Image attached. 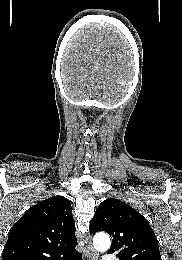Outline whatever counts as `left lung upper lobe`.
Instances as JSON below:
<instances>
[{"instance_id":"1","label":"left lung upper lobe","mask_w":182,"mask_h":260,"mask_svg":"<svg viewBox=\"0 0 182 260\" xmlns=\"http://www.w3.org/2000/svg\"><path fill=\"white\" fill-rule=\"evenodd\" d=\"M105 231L112 237L108 253L120 260H161L158 241L146 219L128 204L106 199L90 222V232Z\"/></svg>"}]
</instances>
